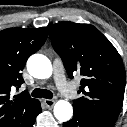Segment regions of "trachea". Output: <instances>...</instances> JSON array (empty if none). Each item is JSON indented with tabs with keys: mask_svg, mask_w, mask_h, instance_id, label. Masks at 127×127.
I'll list each match as a JSON object with an SVG mask.
<instances>
[{
	"mask_svg": "<svg viewBox=\"0 0 127 127\" xmlns=\"http://www.w3.org/2000/svg\"><path fill=\"white\" fill-rule=\"evenodd\" d=\"M31 95L36 98H46V99H51L53 97V93L51 91L40 88L34 89Z\"/></svg>",
	"mask_w": 127,
	"mask_h": 127,
	"instance_id": "trachea-1",
	"label": "trachea"
}]
</instances>
